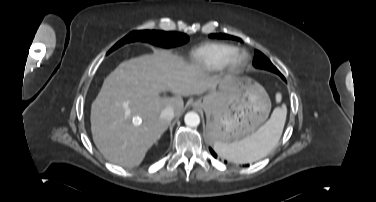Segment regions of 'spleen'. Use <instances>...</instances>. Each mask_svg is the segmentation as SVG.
Listing matches in <instances>:
<instances>
[{"instance_id": "obj_1", "label": "spleen", "mask_w": 376, "mask_h": 202, "mask_svg": "<svg viewBox=\"0 0 376 202\" xmlns=\"http://www.w3.org/2000/svg\"><path fill=\"white\" fill-rule=\"evenodd\" d=\"M287 109H274L270 119L255 133L232 143L215 142L214 150L222 158L234 163H252L265 157L279 142Z\"/></svg>"}]
</instances>
